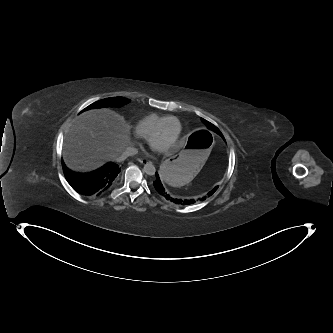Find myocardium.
<instances>
[{"label":"myocardium","instance_id":"1","mask_svg":"<svg viewBox=\"0 0 333 333\" xmlns=\"http://www.w3.org/2000/svg\"><path fill=\"white\" fill-rule=\"evenodd\" d=\"M171 119H174L177 122V125H178V118L176 116L170 115V116L166 117L165 119H163L159 123V125L156 127V129L152 132V134L149 136V142H150V144H153L155 138L162 131L165 123L168 120H171ZM178 142H179V137H178V134H177V136L175 137V139L173 140V142L170 143L167 147L164 148V151H171V150H173L177 146Z\"/></svg>","mask_w":333,"mask_h":333}]
</instances>
